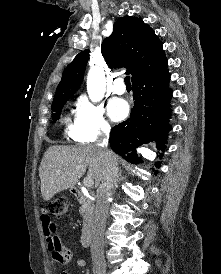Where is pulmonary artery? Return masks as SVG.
<instances>
[{
    "mask_svg": "<svg viewBox=\"0 0 221 274\" xmlns=\"http://www.w3.org/2000/svg\"><path fill=\"white\" fill-rule=\"evenodd\" d=\"M113 90L116 94H123L126 91L125 84L121 77H118L113 82Z\"/></svg>",
    "mask_w": 221,
    "mask_h": 274,
    "instance_id": "pulmonary-artery-1",
    "label": "pulmonary artery"
}]
</instances>
